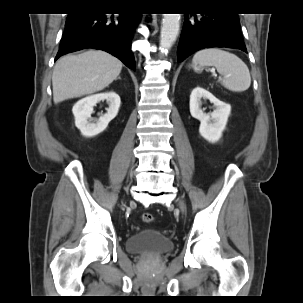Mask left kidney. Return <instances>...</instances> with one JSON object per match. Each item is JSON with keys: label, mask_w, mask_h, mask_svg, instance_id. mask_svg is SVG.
Segmentation results:
<instances>
[{"label": "left kidney", "mask_w": 303, "mask_h": 303, "mask_svg": "<svg viewBox=\"0 0 303 303\" xmlns=\"http://www.w3.org/2000/svg\"><path fill=\"white\" fill-rule=\"evenodd\" d=\"M208 99L214 104V111L206 114L201 109V99ZM231 112V106L217 99L212 93L196 87L190 95V113L193 118L200 121L199 133L207 141L215 143L222 137L228 117Z\"/></svg>", "instance_id": "5707ae66"}]
</instances>
